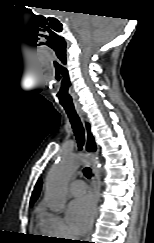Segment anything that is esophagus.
I'll use <instances>...</instances> for the list:
<instances>
[{"label": "esophagus", "mask_w": 154, "mask_h": 243, "mask_svg": "<svg viewBox=\"0 0 154 243\" xmlns=\"http://www.w3.org/2000/svg\"><path fill=\"white\" fill-rule=\"evenodd\" d=\"M77 113L79 114V117H80V119L83 123L84 129H85L86 152L88 155L97 158L99 149H98V145L96 143V138L92 131V125L88 119L87 114L83 110L77 109ZM91 171H92V190H93V196H94V201H95V213H94V218H95L97 216V206L100 201V185H99V178H98V173H97V169H96L95 165L91 166ZM92 232H93V227L87 235L88 239L90 238V235L92 234Z\"/></svg>", "instance_id": "1"}]
</instances>
